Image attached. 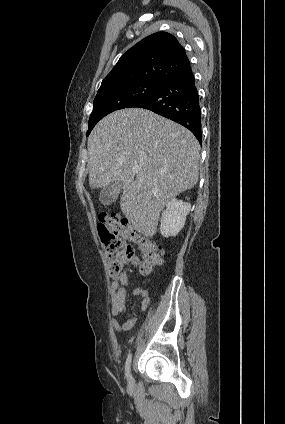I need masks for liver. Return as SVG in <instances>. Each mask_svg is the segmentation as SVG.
<instances>
[{"mask_svg":"<svg viewBox=\"0 0 285 424\" xmlns=\"http://www.w3.org/2000/svg\"><path fill=\"white\" fill-rule=\"evenodd\" d=\"M88 151L90 188L122 182L121 211L145 236L155 235L165 204L198 181L195 136L146 109L127 108L104 117L88 138ZM135 166L138 173L132 172Z\"/></svg>","mask_w":285,"mask_h":424,"instance_id":"obj_1","label":"liver"}]
</instances>
